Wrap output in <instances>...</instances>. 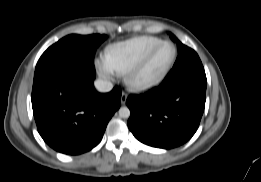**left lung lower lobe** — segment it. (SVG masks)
<instances>
[{
    "label": "left lung lower lobe",
    "instance_id": "1",
    "mask_svg": "<svg viewBox=\"0 0 261 182\" xmlns=\"http://www.w3.org/2000/svg\"><path fill=\"white\" fill-rule=\"evenodd\" d=\"M205 71L163 81L141 95H131L128 127L142 143L171 149L187 142L198 129L206 100Z\"/></svg>",
    "mask_w": 261,
    "mask_h": 182
}]
</instances>
